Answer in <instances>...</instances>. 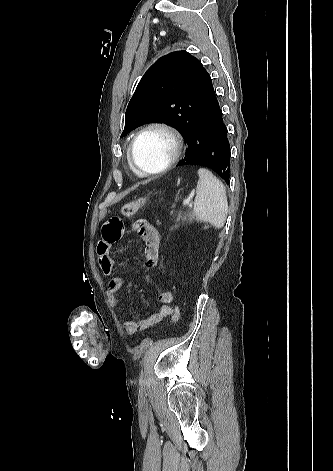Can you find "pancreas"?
<instances>
[{
    "label": "pancreas",
    "mask_w": 333,
    "mask_h": 471,
    "mask_svg": "<svg viewBox=\"0 0 333 471\" xmlns=\"http://www.w3.org/2000/svg\"><path fill=\"white\" fill-rule=\"evenodd\" d=\"M194 221H195L194 214L190 210H186L184 212L179 211L174 217V222L176 223L174 227H177L180 222L182 224H187V223H193Z\"/></svg>",
    "instance_id": "obj_1"
}]
</instances>
